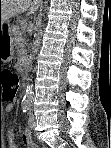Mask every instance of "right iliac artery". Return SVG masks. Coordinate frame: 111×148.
Instances as JSON below:
<instances>
[{
	"instance_id": "obj_1",
	"label": "right iliac artery",
	"mask_w": 111,
	"mask_h": 148,
	"mask_svg": "<svg viewBox=\"0 0 111 148\" xmlns=\"http://www.w3.org/2000/svg\"><path fill=\"white\" fill-rule=\"evenodd\" d=\"M22 109L23 112H26L29 109V103L27 102L22 103Z\"/></svg>"
}]
</instances>
